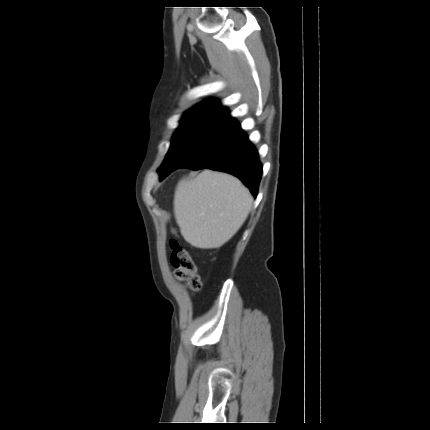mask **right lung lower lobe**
<instances>
[{
  "instance_id": "right-lung-lower-lobe-1",
  "label": "right lung lower lobe",
  "mask_w": 430,
  "mask_h": 430,
  "mask_svg": "<svg viewBox=\"0 0 430 430\" xmlns=\"http://www.w3.org/2000/svg\"><path fill=\"white\" fill-rule=\"evenodd\" d=\"M180 168L227 172L238 177L255 197L262 175V164L259 162L258 153L240 125Z\"/></svg>"
}]
</instances>
